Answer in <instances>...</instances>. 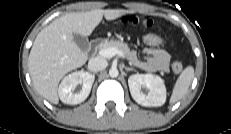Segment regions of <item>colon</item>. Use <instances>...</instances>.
<instances>
[{
  "mask_svg": "<svg viewBox=\"0 0 231 134\" xmlns=\"http://www.w3.org/2000/svg\"><path fill=\"white\" fill-rule=\"evenodd\" d=\"M141 42L147 47H158L165 45L166 41L156 34H146L141 37ZM183 66L180 61H174L172 64V70L174 73L179 74L182 72Z\"/></svg>",
  "mask_w": 231,
  "mask_h": 134,
  "instance_id": "1",
  "label": "colon"
}]
</instances>
